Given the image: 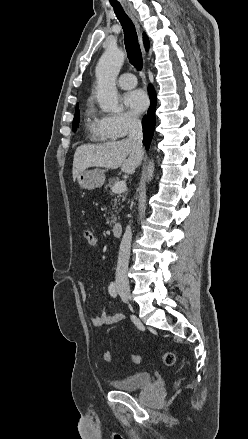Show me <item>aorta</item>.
Returning a JSON list of instances; mask_svg holds the SVG:
<instances>
[{
  "label": "aorta",
  "instance_id": "obj_1",
  "mask_svg": "<svg viewBox=\"0 0 248 439\" xmlns=\"http://www.w3.org/2000/svg\"><path fill=\"white\" fill-rule=\"evenodd\" d=\"M125 54L115 46H109L96 66V94L100 108L104 112L117 113L120 111L116 79L124 63ZM148 180L153 178L154 162L150 161L148 169Z\"/></svg>",
  "mask_w": 248,
  "mask_h": 439
}]
</instances>
